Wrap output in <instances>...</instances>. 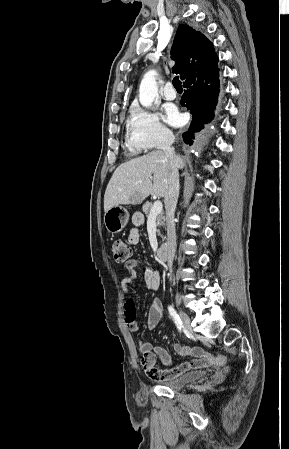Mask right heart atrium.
Here are the masks:
<instances>
[{
    "label": "right heart atrium",
    "mask_w": 289,
    "mask_h": 449,
    "mask_svg": "<svg viewBox=\"0 0 289 449\" xmlns=\"http://www.w3.org/2000/svg\"><path fill=\"white\" fill-rule=\"evenodd\" d=\"M129 143L137 150H151L168 144L173 134L159 119L156 113L134 107L130 119Z\"/></svg>",
    "instance_id": "right-heart-atrium-1"
}]
</instances>
